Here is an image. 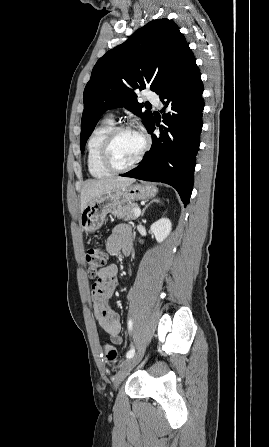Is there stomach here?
<instances>
[{
	"label": "stomach",
	"mask_w": 269,
	"mask_h": 447,
	"mask_svg": "<svg viewBox=\"0 0 269 447\" xmlns=\"http://www.w3.org/2000/svg\"><path fill=\"white\" fill-rule=\"evenodd\" d=\"M156 192L155 186L149 182H142V184H133V186H126L121 190H113L108 194L97 196L95 200L88 202L86 208L81 212L79 224L87 233L95 231L101 227L109 210H116L119 206H125V204L136 202V200H149L155 196Z\"/></svg>",
	"instance_id": "1"
}]
</instances>
